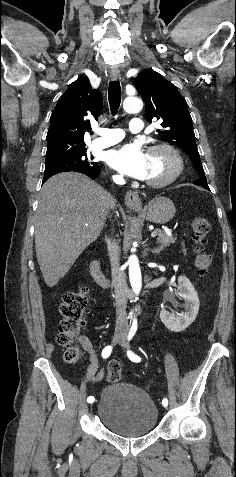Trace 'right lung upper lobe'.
<instances>
[{
  "label": "right lung upper lobe",
  "mask_w": 236,
  "mask_h": 477,
  "mask_svg": "<svg viewBox=\"0 0 236 477\" xmlns=\"http://www.w3.org/2000/svg\"><path fill=\"white\" fill-rule=\"evenodd\" d=\"M102 104L101 93L91 88L87 77L80 76L69 85L50 118L46 162L86 149L84 134L91 131L90 121L98 120Z\"/></svg>",
  "instance_id": "obj_1"
}]
</instances>
